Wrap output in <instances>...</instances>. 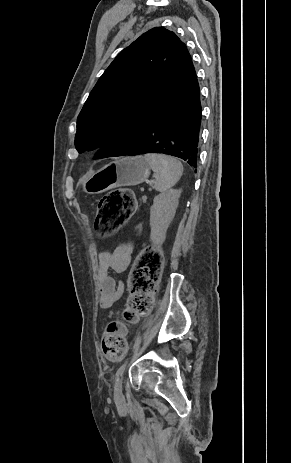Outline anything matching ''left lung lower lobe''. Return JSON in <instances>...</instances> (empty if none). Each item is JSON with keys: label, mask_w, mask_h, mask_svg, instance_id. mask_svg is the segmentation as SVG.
<instances>
[{"label": "left lung lower lobe", "mask_w": 291, "mask_h": 463, "mask_svg": "<svg viewBox=\"0 0 291 463\" xmlns=\"http://www.w3.org/2000/svg\"><path fill=\"white\" fill-rule=\"evenodd\" d=\"M201 119L200 89L195 75L177 92L137 144L122 155H171L185 160L196 171Z\"/></svg>", "instance_id": "left-lung-lower-lobe-1"}]
</instances>
